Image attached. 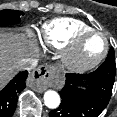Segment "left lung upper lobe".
Wrapping results in <instances>:
<instances>
[{"instance_id": "1", "label": "left lung upper lobe", "mask_w": 117, "mask_h": 117, "mask_svg": "<svg viewBox=\"0 0 117 117\" xmlns=\"http://www.w3.org/2000/svg\"><path fill=\"white\" fill-rule=\"evenodd\" d=\"M101 66H102V68L108 69V71L115 73L116 65H115V54H114L113 48H111L109 50L108 56H107L105 62L102 63Z\"/></svg>"}]
</instances>
